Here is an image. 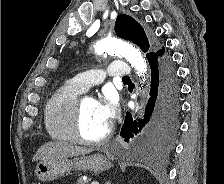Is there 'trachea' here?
<instances>
[{
	"mask_svg": "<svg viewBox=\"0 0 224 184\" xmlns=\"http://www.w3.org/2000/svg\"><path fill=\"white\" fill-rule=\"evenodd\" d=\"M122 80H123V81H129L130 78H129V77H124V78H122Z\"/></svg>",
	"mask_w": 224,
	"mask_h": 184,
	"instance_id": "3493384b",
	"label": "trachea"
}]
</instances>
